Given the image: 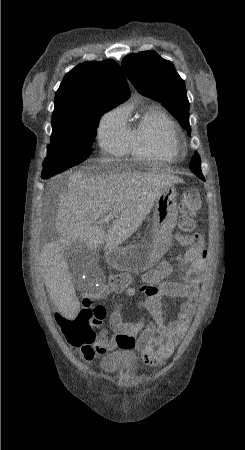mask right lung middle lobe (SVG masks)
<instances>
[{
    "label": "right lung middle lobe",
    "instance_id": "1",
    "mask_svg": "<svg viewBox=\"0 0 245 450\" xmlns=\"http://www.w3.org/2000/svg\"><path fill=\"white\" fill-rule=\"evenodd\" d=\"M115 103L93 104L87 111L61 114L52 119L50 150L42 177L49 178L85 161L94 142L98 121Z\"/></svg>",
    "mask_w": 245,
    "mask_h": 450
}]
</instances>
